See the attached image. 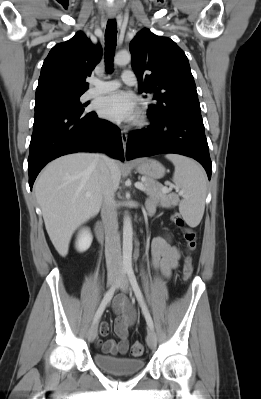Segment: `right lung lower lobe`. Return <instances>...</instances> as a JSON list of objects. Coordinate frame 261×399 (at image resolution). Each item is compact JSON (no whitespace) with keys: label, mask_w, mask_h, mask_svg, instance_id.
Wrapping results in <instances>:
<instances>
[{"label":"right lung lower lobe","mask_w":261,"mask_h":399,"mask_svg":"<svg viewBox=\"0 0 261 399\" xmlns=\"http://www.w3.org/2000/svg\"><path fill=\"white\" fill-rule=\"evenodd\" d=\"M28 158L29 186L51 160L65 154L100 151L124 161L118 127L95 112L76 113L62 108L35 112Z\"/></svg>","instance_id":"1"}]
</instances>
